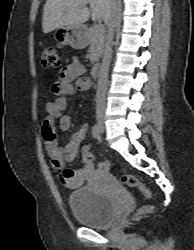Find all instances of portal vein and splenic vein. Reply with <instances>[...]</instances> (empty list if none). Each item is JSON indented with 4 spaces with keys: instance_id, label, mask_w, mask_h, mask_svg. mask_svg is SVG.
I'll return each instance as SVG.
<instances>
[{
    "instance_id": "1",
    "label": "portal vein and splenic vein",
    "mask_w": 194,
    "mask_h": 250,
    "mask_svg": "<svg viewBox=\"0 0 194 250\" xmlns=\"http://www.w3.org/2000/svg\"><path fill=\"white\" fill-rule=\"evenodd\" d=\"M102 27H103L102 25H97V28H98V29H100V28H102Z\"/></svg>"
}]
</instances>
